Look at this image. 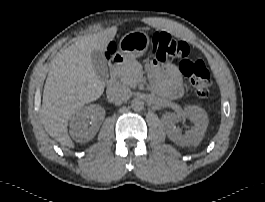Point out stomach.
Masks as SVG:
<instances>
[{"label": "stomach", "instance_id": "obj_1", "mask_svg": "<svg viewBox=\"0 0 265 202\" xmlns=\"http://www.w3.org/2000/svg\"><path fill=\"white\" fill-rule=\"evenodd\" d=\"M149 43V36L146 32L131 31L121 38L118 53L124 60L135 59L147 51Z\"/></svg>", "mask_w": 265, "mask_h": 202}]
</instances>
